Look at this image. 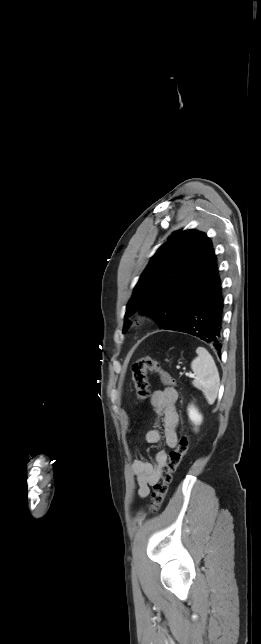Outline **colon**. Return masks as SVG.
I'll list each match as a JSON object with an SVG mask.
<instances>
[{
	"mask_svg": "<svg viewBox=\"0 0 261 644\" xmlns=\"http://www.w3.org/2000/svg\"><path fill=\"white\" fill-rule=\"evenodd\" d=\"M156 373L163 384L168 386L175 385L174 377L167 372L160 362L152 356H145L137 359L131 366L132 381L136 390L138 400H146L150 396V389L147 379V374ZM189 446V438L184 433L178 443V446L170 452L169 459L166 464V470L161 475V480L153 486L152 501L150 511L157 512L162 505L164 498L167 494L169 484L172 481L173 474L181 464Z\"/></svg>",
	"mask_w": 261,
	"mask_h": 644,
	"instance_id": "1",
	"label": "colon"
}]
</instances>
